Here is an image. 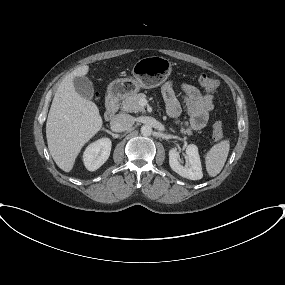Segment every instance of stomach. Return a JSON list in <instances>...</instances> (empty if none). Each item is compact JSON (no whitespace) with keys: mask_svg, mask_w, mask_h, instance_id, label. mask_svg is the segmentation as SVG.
Listing matches in <instances>:
<instances>
[{"mask_svg":"<svg viewBox=\"0 0 285 285\" xmlns=\"http://www.w3.org/2000/svg\"><path fill=\"white\" fill-rule=\"evenodd\" d=\"M172 72L169 59L160 56L145 57L137 61L132 69V78L112 81L107 93L112 98H125L137 93L141 88L150 89L164 83Z\"/></svg>","mask_w":285,"mask_h":285,"instance_id":"stomach-1","label":"stomach"}]
</instances>
